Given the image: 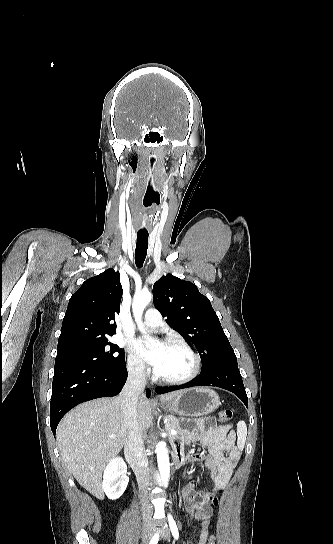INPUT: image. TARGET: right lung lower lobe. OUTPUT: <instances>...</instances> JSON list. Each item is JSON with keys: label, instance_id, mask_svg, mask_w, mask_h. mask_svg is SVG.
I'll return each instance as SVG.
<instances>
[{"label": "right lung lower lobe", "instance_id": "1", "mask_svg": "<svg viewBox=\"0 0 333 544\" xmlns=\"http://www.w3.org/2000/svg\"><path fill=\"white\" fill-rule=\"evenodd\" d=\"M126 379V364L117 369H108L76 358H56L50 403L53 434L70 409L95 398L117 395ZM146 395L150 396L149 390Z\"/></svg>", "mask_w": 333, "mask_h": 544}]
</instances>
